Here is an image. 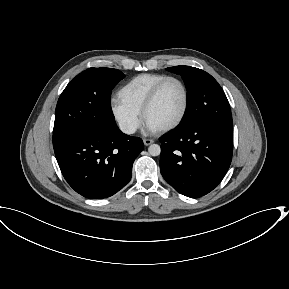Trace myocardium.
I'll use <instances>...</instances> for the list:
<instances>
[{
    "mask_svg": "<svg viewBox=\"0 0 289 289\" xmlns=\"http://www.w3.org/2000/svg\"><path fill=\"white\" fill-rule=\"evenodd\" d=\"M170 81H175L181 86V88L183 90V94H184V103H183V108H182V111H181L179 117L174 122H172L171 124L160 128L158 130L160 132H168V131L174 130L177 127H179L182 124V122L184 121V119H185V117L187 115V112H188V109H189V104H190V94H189V90H188V87L185 84V82L182 79L178 78V77L167 76L164 79H162L161 81H159L151 89V91L149 92L148 96L146 97V99H145V101L143 103L142 109H141L142 119L144 121H146L147 113H148L149 109L152 107V105L154 104V102H155L156 98L158 97L162 87L166 83H168Z\"/></svg>",
    "mask_w": 289,
    "mask_h": 289,
    "instance_id": "f54148a6",
    "label": "myocardium"
}]
</instances>
